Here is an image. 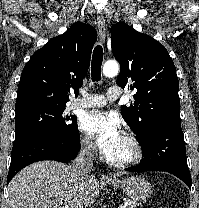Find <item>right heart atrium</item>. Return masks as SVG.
I'll use <instances>...</instances> for the list:
<instances>
[{"label": "right heart atrium", "mask_w": 199, "mask_h": 208, "mask_svg": "<svg viewBox=\"0 0 199 208\" xmlns=\"http://www.w3.org/2000/svg\"><path fill=\"white\" fill-rule=\"evenodd\" d=\"M80 147L82 152L88 156H92L96 151L95 145L88 137H81Z\"/></svg>", "instance_id": "right-heart-atrium-1"}]
</instances>
